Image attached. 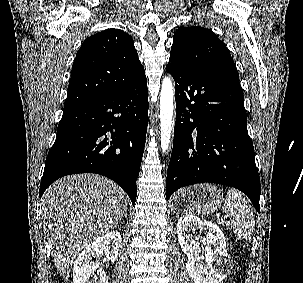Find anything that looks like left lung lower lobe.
I'll return each instance as SVG.
<instances>
[{
    "label": "left lung lower lobe",
    "instance_id": "1",
    "mask_svg": "<svg viewBox=\"0 0 303 283\" xmlns=\"http://www.w3.org/2000/svg\"><path fill=\"white\" fill-rule=\"evenodd\" d=\"M175 80L176 121L166 198L196 183H219L244 192L259 212L260 178L247 131L238 73L187 70L168 63Z\"/></svg>",
    "mask_w": 303,
    "mask_h": 283
}]
</instances>
